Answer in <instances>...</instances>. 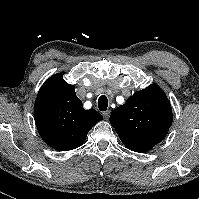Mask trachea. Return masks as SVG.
I'll return each instance as SVG.
<instances>
[{
	"label": "trachea",
	"mask_w": 199,
	"mask_h": 199,
	"mask_svg": "<svg viewBox=\"0 0 199 199\" xmlns=\"http://www.w3.org/2000/svg\"><path fill=\"white\" fill-rule=\"evenodd\" d=\"M108 107V99L105 95H102L98 99V108L100 111H105Z\"/></svg>",
	"instance_id": "obj_1"
}]
</instances>
